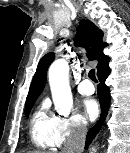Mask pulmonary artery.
<instances>
[{"label": "pulmonary artery", "mask_w": 130, "mask_h": 153, "mask_svg": "<svg viewBox=\"0 0 130 153\" xmlns=\"http://www.w3.org/2000/svg\"><path fill=\"white\" fill-rule=\"evenodd\" d=\"M77 91L82 95H92L95 88L89 80H83L77 85Z\"/></svg>", "instance_id": "pulmonary-artery-1"}]
</instances>
